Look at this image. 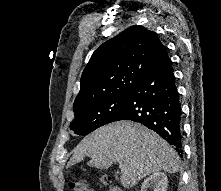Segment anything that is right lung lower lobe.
I'll return each mask as SVG.
<instances>
[{
  "label": "right lung lower lobe",
  "instance_id": "1",
  "mask_svg": "<svg viewBox=\"0 0 221 191\" xmlns=\"http://www.w3.org/2000/svg\"><path fill=\"white\" fill-rule=\"evenodd\" d=\"M181 115L172 62L168 57L132 90L116 121L139 122L158 133L178 153H182Z\"/></svg>",
  "mask_w": 221,
  "mask_h": 191
}]
</instances>
